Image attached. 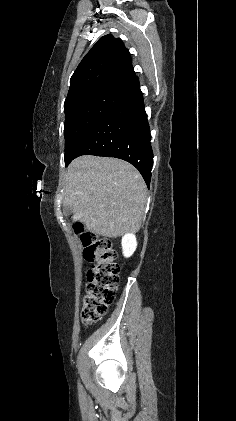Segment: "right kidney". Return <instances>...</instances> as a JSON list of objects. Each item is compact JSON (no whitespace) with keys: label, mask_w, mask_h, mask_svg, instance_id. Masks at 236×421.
I'll return each instance as SVG.
<instances>
[{"label":"right kidney","mask_w":236,"mask_h":421,"mask_svg":"<svg viewBox=\"0 0 236 421\" xmlns=\"http://www.w3.org/2000/svg\"><path fill=\"white\" fill-rule=\"evenodd\" d=\"M137 241L135 235H125L122 239V249L124 257H131L136 251Z\"/></svg>","instance_id":"ca27d5eb"}]
</instances>
